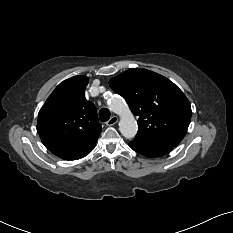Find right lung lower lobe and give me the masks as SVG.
<instances>
[{
    "mask_svg": "<svg viewBox=\"0 0 233 233\" xmlns=\"http://www.w3.org/2000/svg\"><path fill=\"white\" fill-rule=\"evenodd\" d=\"M96 140L88 145L76 148H52L49 149L56 156L65 160H77L86 156L92 149Z\"/></svg>",
    "mask_w": 233,
    "mask_h": 233,
    "instance_id": "1",
    "label": "right lung lower lobe"
}]
</instances>
